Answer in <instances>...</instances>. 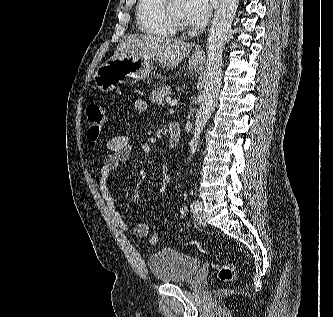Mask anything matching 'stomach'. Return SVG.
<instances>
[{
  "label": "stomach",
  "mask_w": 333,
  "mask_h": 317,
  "mask_svg": "<svg viewBox=\"0 0 333 317\" xmlns=\"http://www.w3.org/2000/svg\"><path fill=\"white\" fill-rule=\"evenodd\" d=\"M198 64L199 60L192 58L189 61V71L196 70ZM154 68L153 62L137 55L111 58L97 69L94 75L95 85L103 92H110L121 83L123 78H129L134 82L145 80Z\"/></svg>",
  "instance_id": "1"
}]
</instances>
